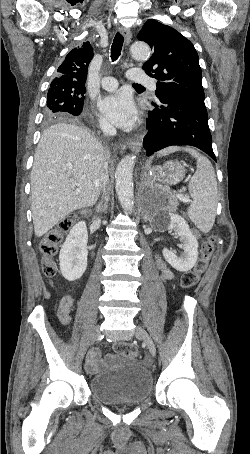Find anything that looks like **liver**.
<instances>
[{
  "label": "liver",
  "instance_id": "1",
  "mask_svg": "<svg viewBox=\"0 0 250 454\" xmlns=\"http://www.w3.org/2000/svg\"><path fill=\"white\" fill-rule=\"evenodd\" d=\"M104 162L101 143L75 124L58 123L43 132L31 173V210L37 237L71 212L97 202Z\"/></svg>",
  "mask_w": 250,
  "mask_h": 454
}]
</instances>
